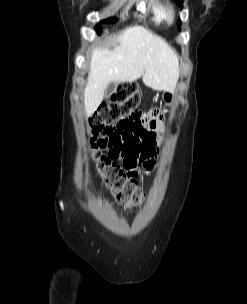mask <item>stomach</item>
I'll return each instance as SVG.
<instances>
[{"label": "stomach", "mask_w": 247, "mask_h": 304, "mask_svg": "<svg viewBox=\"0 0 247 304\" xmlns=\"http://www.w3.org/2000/svg\"><path fill=\"white\" fill-rule=\"evenodd\" d=\"M162 98L164 100L165 103L167 104H172L175 102V94L174 92H170V91H164Z\"/></svg>", "instance_id": "1"}]
</instances>
